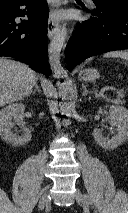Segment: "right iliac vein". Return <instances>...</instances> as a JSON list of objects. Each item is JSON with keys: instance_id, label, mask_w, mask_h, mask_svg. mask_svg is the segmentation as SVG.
<instances>
[{"instance_id": "right-iliac-vein-1", "label": "right iliac vein", "mask_w": 128, "mask_h": 213, "mask_svg": "<svg viewBox=\"0 0 128 213\" xmlns=\"http://www.w3.org/2000/svg\"><path fill=\"white\" fill-rule=\"evenodd\" d=\"M48 204H49V196L47 194V189L45 188L41 197H40V200H39V203H38V209L42 210Z\"/></svg>"}]
</instances>
